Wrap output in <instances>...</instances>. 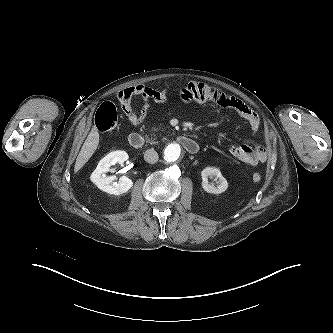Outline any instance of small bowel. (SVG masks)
Wrapping results in <instances>:
<instances>
[{"label": "small bowel", "mask_w": 333, "mask_h": 333, "mask_svg": "<svg viewBox=\"0 0 333 333\" xmlns=\"http://www.w3.org/2000/svg\"><path fill=\"white\" fill-rule=\"evenodd\" d=\"M170 95L171 93L167 89L158 90L145 84H139L120 91L117 99L128 122L133 126H138L146 118L150 100L156 103H164ZM179 95L187 102H213L231 109L247 121L252 132L255 133L259 129L260 119L258 114L244 102L226 94L219 88L200 82H189L180 89ZM139 97L142 98V105L136 110L134 101ZM229 151L240 161L252 166L264 163L267 160V151L262 145H233Z\"/></svg>", "instance_id": "small-bowel-1"}]
</instances>
